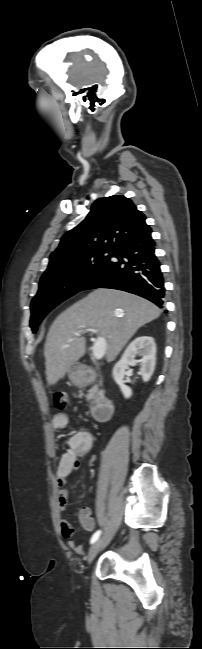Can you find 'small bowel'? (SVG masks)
I'll use <instances>...</instances> for the list:
<instances>
[{"instance_id":"1","label":"small bowel","mask_w":202,"mask_h":649,"mask_svg":"<svg viewBox=\"0 0 202 649\" xmlns=\"http://www.w3.org/2000/svg\"><path fill=\"white\" fill-rule=\"evenodd\" d=\"M69 424L70 419L66 413H57L52 419V425L55 429H64ZM92 446L93 436L87 430L75 432L67 441V450L60 458L56 476L57 484L60 487L57 495L58 506L62 513L67 514L69 512L68 490L64 487L73 473L79 469L80 461L90 454ZM79 521L86 531L92 532L94 530L95 522L92 517V509L89 506L81 508ZM60 529L62 536L68 540V546L77 554L83 555L85 553L84 546L82 544L77 545L73 540V526L63 519L60 522Z\"/></svg>"}]
</instances>
